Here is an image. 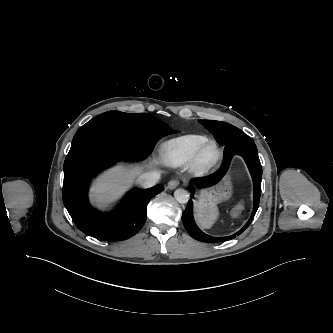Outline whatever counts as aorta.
<instances>
[{
  "instance_id": "obj_1",
  "label": "aorta",
  "mask_w": 333,
  "mask_h": 333,
  "mask_svg": "<svg viewBox=\"0 0 333 333\" xmlns=\"http://www.w3.org/2000/svg\"><path fill=\"white\" fill-rule=\"evenodd\" d=\"M174 197L177 202L185 204L189 200V193L186 190L179 188L175 190Z\"/></svg>"
}]
</instances>
